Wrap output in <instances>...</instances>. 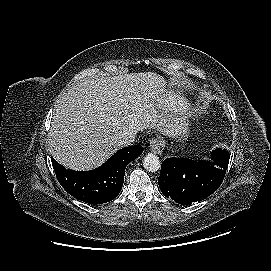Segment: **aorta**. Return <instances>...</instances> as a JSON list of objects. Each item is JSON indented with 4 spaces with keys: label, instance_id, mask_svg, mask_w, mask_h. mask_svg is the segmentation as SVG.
Here are the masks:
<instances>
[{
    "label": "aorta",
    "instance_id": "762f6f07",
    "mask_svg": "<svg viewBox=\"0 0 271 271\" xmlns=\"http://www.w3.org/2000/svg\"><path fill=\"white\" fill-rule=\"evenodd\" d=\"M143 166L149 172L158 171L160 168L158 156L153 153H148L146 156H144Z\"/></svg>",
    "mask_w": 271,
    "mask_h": 271
}]
</instances>
